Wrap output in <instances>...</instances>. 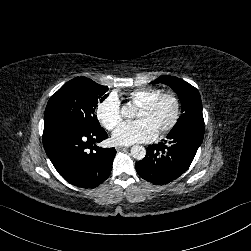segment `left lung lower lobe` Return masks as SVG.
<instances>
[{"label":"left lung lower lobe","mask_w":251,"mask_h":251,"mask_svg":"<svg viewBox=\"0 0 251 251\" xmlns=\"http://www.w3.org/2000/svg\"><path fill=\"white\" fill-rule=\"evenodd\" d=\"M204 133L179 130L150 145L144 159L135 164L140 177L153 184H166L180 177L191 165Z\"/></svg>","instance_id":"0a47b994"}]
</instances>
